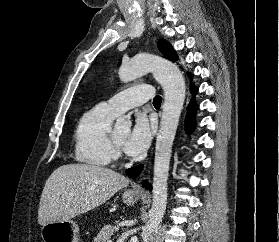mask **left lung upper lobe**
Listing matches in <instances>:
<instances>
[{"mask_svg": "<svg viewBox=\"0 0 279 242\" xmlns=\"http://www.w3.org/2000/svg\"><path fill=\"white\" fill-rule=\"evenodd\" d=\"M158 47L161 53H163L166 57L177 60V54L174 51L173 47L166 40H159Z\"/></svg>", "mask_w": 279, "mask_h": 242, "instance_id": "obj_1", "label": "left lung upper lobe"}]
</instances>
